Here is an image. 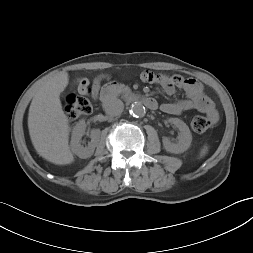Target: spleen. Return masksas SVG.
Listing matches in <instances>:
<instances>
[{
	"instance_id": "3e777b00",
	"label": "spleen",
	"mask_w": 253,
	"mask_h": 253,
	"mask_svg": "<svg viewBox=\"0 0 253 253\" xmlns=\"http://www.w3.org/2000/svg\"><path fill=\"white\" fill-rule=\"evenodd\" d=\"M208 151V147L207 146H204L201 151H200V157H203L205 156V154L207 153Z\"/></svg>"
}]
</instances>
